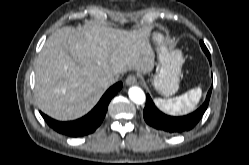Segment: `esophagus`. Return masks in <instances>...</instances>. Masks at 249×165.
Segmentation results:
<instances>
[{
	"instance_id": "34e87169",
	"label": "esophagus",
	"mask_w": 249,
	"mask_h": 165,
	"mask_svg": "<svg viewBox=\"0 0 249 165\" xmlns=\"http://www.w3.org/2000/svg\"><path fill=\"white\" fill-rule=\"evenodd\" d=\"M136 83H137V78L135 77V75H129L125 80V84L127 86L134 85Z\"/></svg>"
}]
</instances>
